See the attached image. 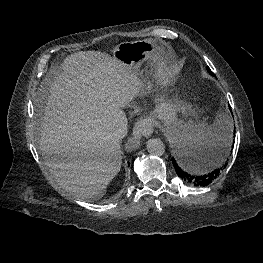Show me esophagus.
<instances>
[{
    "label": "esophagus",
    "mask_w": 263,
    "mask_h": 263,
    "mask_svg": "<svg viewBox=\"0 0 263 263\" xmlns=\"http://www.w3.org/2000/svg\"><path fill=\"white\" fill-rule=\"evenodd\" d=\"M153 132V125L147 119H141L136 122L133 128V137L130 144L136 145L142 137H148Z\"/></svg>",
    "instance_id": "obj_1"
}]
</instances>
